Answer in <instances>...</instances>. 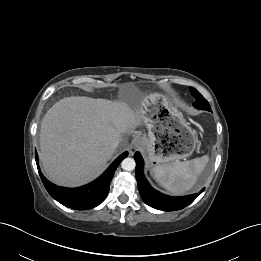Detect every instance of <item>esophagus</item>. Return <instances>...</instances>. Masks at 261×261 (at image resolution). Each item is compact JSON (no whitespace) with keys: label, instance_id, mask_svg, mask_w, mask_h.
<instances>
[{"label":"esophagus","instance_id":"esophagus-1","mask_svg":"<svg viewBox=\"0 0 261 261\" xmlns=\"http://www.w3.org/2000/svg\"><path fill=\"white\" fill-rule=\"evenodd\" d=\"M140 148H141V141H140V140H135V141L133 142L132 149H133V150H138V149H140Z\"/></svg>","mask_w":261,"mask_h":261}]
</instances>
